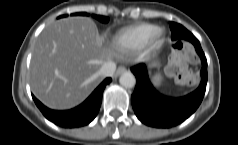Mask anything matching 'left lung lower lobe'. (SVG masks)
Masks as SVG:
<instances>
[{
    "label": "left lung lower lobe",
    "mask_w": 238,
    "mask_h": 145,
    "mask_svg": "<svg viewBox=\"0 0 238 145\" xmlns=\"http://www.w3.org/2000/svg\"><path fill=\"white\" fill-rule=\"evenodd\" d=\"M172 40H187L194 46L201 58V83L189 95L170 98L158 93L151 84L145 64L131 69L136 76V87L131 96L133 110L138 119L151 127H174L190 117L199 107L206 91L207 60L197 38L182 25L170 22Z\"/></svg>",
    "instance_id": "left-lung-lower-lobe-1"
}]
</instances>
